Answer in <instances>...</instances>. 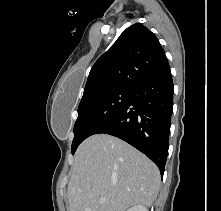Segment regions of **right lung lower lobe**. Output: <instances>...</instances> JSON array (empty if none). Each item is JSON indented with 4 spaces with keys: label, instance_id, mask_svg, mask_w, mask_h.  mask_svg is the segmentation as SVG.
Wrapping results in <instances>:
<instances>
[{
    "label": "right lung lower lobe",
    "instance_id": "98d812e1",
    "mask_svg": "<svg viewBox=\"0 0 221 211\" xmlns=\"http://www.w3.org/2000/svg\"><path fill=\"white\" fill-rule=\"evenodd\" d=\"M172 111L173 81L169 69L135 84L126 104L95 134L113 135L131 144L150 158L163 176Z\"/></svg>",
    "mask_w": 221,
    "mask_h": 211
}]
</instances>
